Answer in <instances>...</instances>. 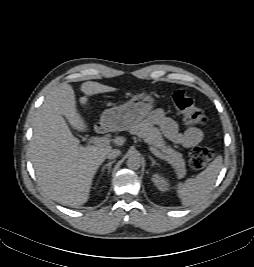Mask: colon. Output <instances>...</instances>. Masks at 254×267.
Returning a JSON list of instances; mask_svg holds the SVG:
<instances>
[{
  "label": "colon",
  "instance_id": "colon-1",
  "mask_svg": "<svg viewBox=\"0 0 254 267\" xmlns=\"http://www.w3.org/2000/svg\"><path fill=\"white\" fill-rule=\"evenodd\" d=\"M173 104L177 114L187 126L202 125L207 121L206 114L183 90L174 92ZM214 153L208 147L198 146L190 151L189 163L195 170L203 169L213 158Z\"/></svg>",
  "mask_w": 254,
  "mask_h": 267
}]
</instances>
